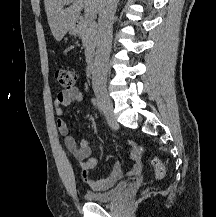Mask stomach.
I'll use <instances>...</instances> for the list:
<instances>
[{
  "label": "stomach",
  "instance_id": "stomach-1",
  "mask_svg": "<svg viewBox=\"0 0 216 217\" xmlns=\"http://www.w3.org/2000/svg\"><path fill=\"white\" fill-rule=\"evenodd\" d=\"M69 32H70V34H72V35L76 34V32H77L76 27H75V26L71 27V28L69 29Z\"/></svg>",
  "mask_w": 216,
  "mask_h": 217
}]
</instances>
